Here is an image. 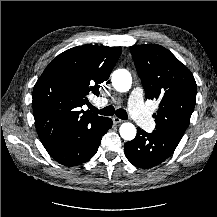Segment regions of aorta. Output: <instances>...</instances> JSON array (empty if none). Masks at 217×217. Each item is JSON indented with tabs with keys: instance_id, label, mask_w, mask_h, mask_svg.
<instances>
[{
	"instance_id": "aorta-1",
	"label": "aorta",
	"mask_w": 217,
	"mask_h": 217,
	"mask_svg": "<svg viewBox=\"0 0 217 217\" xmlns=\"http://www.w3.org/2000/svg\"><path fill=\"white\" fill-rule=\"evenodd\" d=\"M111 81L117 91L127 92L132 85V76L128 70L118 69L113 72ZM119 132L124 140L131 141L135 138L137 130L132 123L125 122L120 126Z\"/></svg>"
}]
</instances>
